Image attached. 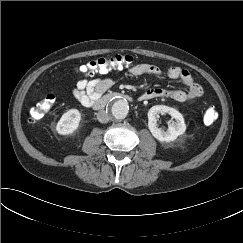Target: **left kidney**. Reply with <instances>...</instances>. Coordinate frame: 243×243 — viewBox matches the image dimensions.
I'll return each mask as SVG.
<instances>
[{
    "mask_svg": "<svg viewBox=\"0 0 243 243\" xmlns=\"http://www.w3.org/2000/svg\"><path fill=\"white\" fill-rule=\"evenodd\" d=\"M160 113H167L175 119V122L170 124L166 131L157 127V115ZM148 128L158 141L171 142L185 132L186 125L182 114L176 109L164 105H155L148 112Z\"/></svg>",
    "mask_w": 243,
    "mask_h": 243,
    "instance_id": "left-kidney-1",
    "label": "left kidney"
}]
</instances>
